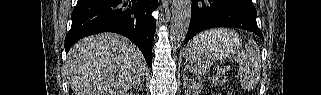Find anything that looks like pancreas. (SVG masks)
I'll list each match as a JSON object with an SVG mask.
<instances>
[{
  "mask_svg": "<svg viewBox=\"0 0 321 95\" xmlns=\"http://www.w3.org/2000/svg\"><path fill=\"white\" fill-rule=\"evenodd\" d=\"M194 87L200 88L202 89V86L198 85V84H194Z\"/></svg>",
  "mask_w": 321,
  "mask_h": 95,
  "instance_id": "pancreas-1",
  "label": "pancreas"
}]
</instances>
